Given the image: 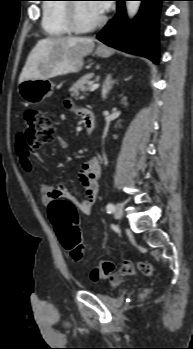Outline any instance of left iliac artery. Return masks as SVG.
<instances>
[{
  "mask_svg": "<svg viewBox=\"0 0 193 349\" xmlns=\"http://www.w3.org/2000/svg\"><path fill=\"white\" fill-rule=\"evenodd\" d=\"M106 209H107V212L108 213H111L114 211V205L112 203H109L107 206H106Z\"/></svg>",
  "mask_w": 193,
  "mask_h": 349,
  "instance_id": "left-iliac-artery-1",
  "label": "left iliac artery"
}]
</instances>
